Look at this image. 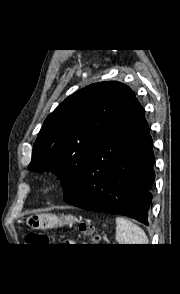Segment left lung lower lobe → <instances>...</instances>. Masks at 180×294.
Instances as JSON below:
<instances>
[{"label": "left lung lower lobe", "instance_id": "0a47b994", "mask_svg": "<svg viewBox=\"0 0 180 294\" xmlns=\"http://www.w3.org/2000/svg\"><path fill=\"white\" fill-rule=\"evenodd\" d=\"M154 160L145 112L136 98L94 153L78 190L64 200L148 225Z\"/></svg>", "mask_w": 180, "mask_h": 294}]
</instances>
